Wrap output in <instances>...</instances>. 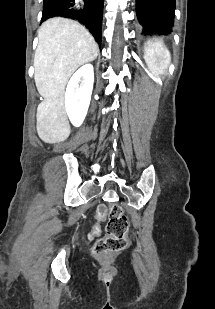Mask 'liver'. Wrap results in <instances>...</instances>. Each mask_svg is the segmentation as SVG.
<instances>
[{
  "mask_svg": "<svg viewBox=\"0 0 215 309\" xmlns=\"http://www.w3.org/2000/svg\"><path fill=\"white\" fill-rule=\"evenodd\" d=\"M34 56V78L44 100L37 108V132L44 142H61L70 134L64 106L65 86L73 72L96 58L99 48L87 28L54 16L41 24Z\"/></svg>",
  "mask_w": 215,
  "mask_h": 309,
  "instance_id": "liver-1",
  "label": "liver"
}]
</instances>
